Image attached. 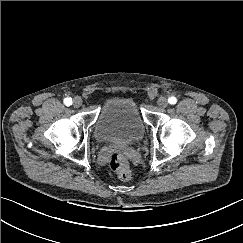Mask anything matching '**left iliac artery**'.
Masks as SVG:
<instances>
[{"label":"left iliac artery","instance_id":"44dca946","mask_svg":"<svg viewBox=\"0 0 243 243\" xmlns=\"http://www.w3.org/2000/svg\"><path fill=\"white\" fill-rule=\"evenodd\" d=\"M168 102H169V104L174 105V104H176L177 99H176V97L172 96V97H170V98L168 99Z\"/></svg>","mask_w":243,"mask_h":243}]
</instances>
